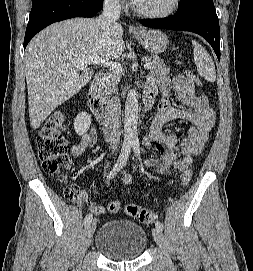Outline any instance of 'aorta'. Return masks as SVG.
<instances>
[{
  "mask_svg": "<svg viewBox=\"0 0 253 271\" xmlns=\"http://www.w3.org/2000/svg\"><path fill=\"white\" fill-rule=\"evenodd\" d=\"M138 93L131 89L125 102L124 137L126 141L138 140Z\"/></svg>",
  "mask_w": 253,
  "mask_h": 271,
  "instance_id": "obj_1",
  "label": "aorta"
}]
</instances>
